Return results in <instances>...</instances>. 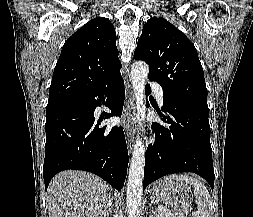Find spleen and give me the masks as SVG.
<instances>
[{
    "instance_id": "3e777b00",
    "label": "spleen",
    "mask_w": 253,
    "mask_h": 217,
    "mask_svg": "<svg viewBox=\"0 0 253 217\" xmlns=\"http://www.w3.org/2000/svg\"><path fill=\"white\" fill-rule=\"evenodd\" d=\"M170 178L178 183L190 184L194 187L198 217H211L212 202L207 188L197 179L186 174H173Z\"/></svg>"
}]
</instances>
